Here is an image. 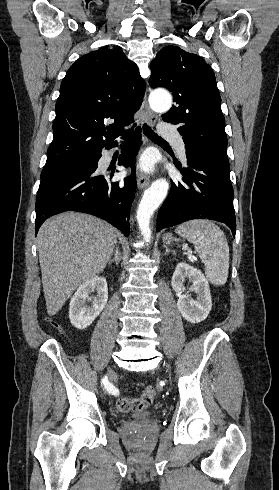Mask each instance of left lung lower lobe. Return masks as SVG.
<instances>
[{"label":"left lung lower lobe","instance_id":"0a47b994","mask_svg":"<svg viewBox=\"0 0 279 490\" xmlns=\"http://www.w3.org/2000/svg\"><path fill=\"white\" fill-rule=\"evenodd\" d=\"M187 165L174 161L184 176L173 183L157 220V232L192 219L226 224L235 237L236 218L228 158L207 148H186Z\"/></svg>","mask_w":279,"mask_h":490}]
</instances>
